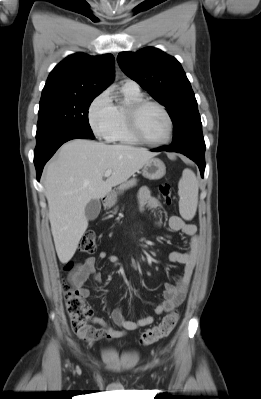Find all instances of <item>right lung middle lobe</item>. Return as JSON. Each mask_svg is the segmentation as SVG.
<instances>
[{"label":"right lung middle lobe","mask_w":261,"mask_h":399,"mask_svg":"<svg viewBox=\"0 0 261 399\" xmlns=\"http://www.w3.org/2000/svg\"><path fill=\"white\" fill-rule=\"evenodd\" d=\"M97 96H42L36 137L62 127L93 134L88 122V109Z\"/></svg>","instance_id":"dd1d6c3e"}]
</instances>
